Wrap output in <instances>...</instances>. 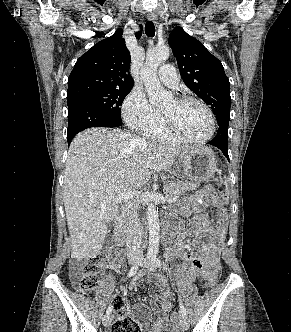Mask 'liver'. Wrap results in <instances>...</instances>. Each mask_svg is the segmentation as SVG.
Here are the masks:
<instances>
[{
    "instance_id": "6515ba94",
    "label": "liver",
    "mask_w": 291,
    "mask_h": 332,
    "mask_svg": "<svg viewBox=\"0 0 291 332\" xmlns=\"http://www.w3.org/2000/svg\"><path fill=\"white\" fill-rule=\"evenodd\" d=\"M119 129L91 128L71 142L64 170L63 201L71 257L95 258L123 192H136L154 172L169 170L179 155L197 147L147 142Z\"/></svg>"
}]
</instances>
